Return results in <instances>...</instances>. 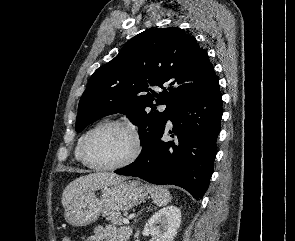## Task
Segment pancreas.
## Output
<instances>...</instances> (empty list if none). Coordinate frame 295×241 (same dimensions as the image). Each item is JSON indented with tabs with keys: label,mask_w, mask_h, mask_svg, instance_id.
I'll list each match as a JSON object with an SVG mask.
<instances>
[{
	"label": "pancreas",
	"mask_w": 295,
	"mask_h": 241,
	"mask_svg": "<svg viewBox=\"0 0 295 241\" xmlns=\"http://www.w3.org/2000/svg\"><path fill=\"white\" fill-rule=\"evenodd\" d=\"M104 217L114 225H122L123 223V216L120 212L105 211Z\"/></svg>",
	"instance_id": "obj_1"
}]
</instances>
